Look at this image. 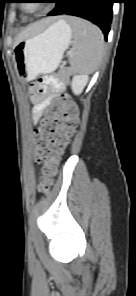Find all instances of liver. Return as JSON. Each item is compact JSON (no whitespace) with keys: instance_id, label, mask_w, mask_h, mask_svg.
Masks as SVG:
<instances>
[{"instance_id":"liver-1","label":"liver","mask_w":136,"mask_h":296,"mask_svg":"<svg viewBox=\"0 0 136 296\" xmlns=\"http://www.w3.org/2000/svg\"><path fill=\"white\" fill-rule=\"evenodd\" d=\"M51 19H45L25 27L18 36V41L23 40L30 35L38 33L43 27L50 23Z\"/></svg>"}]
</instances>
